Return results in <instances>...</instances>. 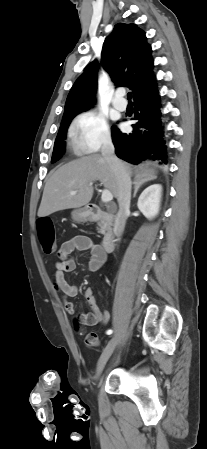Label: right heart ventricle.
<instances>
[{
	"label": "right heart ventricle",
	"mask_w": 207,
	"mask_h": 449,
	"mask_svg": "<svg viewBox=\"0 0 207 449\" xmlns=\"http://www.w3.org/2000/svg\"><path fill=\"white\" fill-rule=\"evenodd\" d=\"M73 147H74V149H75L76 152H79V148L77 147L75 141H73Z\"/></svg>",
	"instance_id": "e07e8e85"
}]
</instances>
